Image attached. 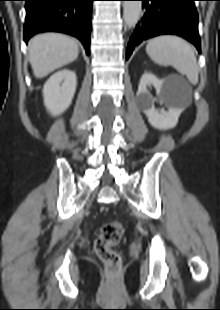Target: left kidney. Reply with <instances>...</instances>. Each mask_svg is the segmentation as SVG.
<instances>
[{"label": "left kidney", "instance_id": "left-kidney-1", "mask_svg": "<svg viewBox=\"0 0 220 310\" xmlns=\"http://www.w3.org/2000/svg\"><path fill=\"white\" fill-rule=\"evenodd\" d=\"M153 85L158 95L163 96L166 93L167 83L165 79H158L155 75L145 72L139 83L138 99L140 106L148 118L149 123L157 129L168 130L177 125L181 110L169 108L168 111L155 109V99L148 92L147 86Z\"/></svg>", "mask_w": 220, "mask_h": 310}]
</instances>
